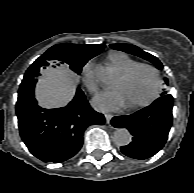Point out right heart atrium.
<instances>
[{
  "instance_id": "d8ad5b80",
  "label": "right heart atrium",
  "mask_w": 194,
  "mask_h": 193,
  "mask_svg": "<svg viewBox=\"0 0 194 193\" xmlns=\"http://www.w3.org/2000/svg\"><path fill=\"white\" fill-rule=\"evenodd\" d=\"M82 79L90 92L96 93L98 91V82L93 74L90 62L86 63L82 68Z\"/></svg>"
}]
</instances>
